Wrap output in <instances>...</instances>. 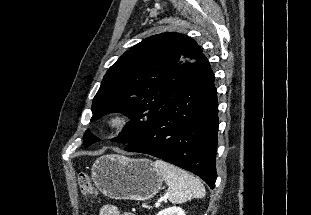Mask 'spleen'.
Returning <instances> with one entry per match:
<instances>
[{"instance_id": "3e777b00", "label": "spleen", "mask_w": 311, "mask_h": 215, "mask_svg": "<svg viewBox=\"0 0 311 215\" xmlns=\"http://www.w3.org/2000/svg\"><path fill=\"white\" fill-rule=\"evenodd\" d=\"M154 165L171 190L169 195L171 203L180 204L192 198L205 196L203 184L192 174L163 160H156Z\"/></svg>"}]
</instances>
